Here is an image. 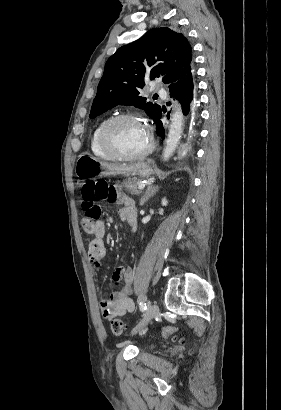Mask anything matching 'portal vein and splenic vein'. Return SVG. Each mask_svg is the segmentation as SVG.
<instances>
[{
    "label": "portal vein and splenic vein",
    "mask_w": 281,
    "mask_h": 410,
    "mask_svg": "<svg viewBox=\"0 0 281 410\" xmlns=\"http://www.w3.org/2000/svg\"><path fill=\"white\" fill-rule=\"evenodd\" d=\"M145 184L141 183L138 185V189L143 190L145 188Z\"/></svg>",
    "instance_id": "18ae733b"
}]
</instances>
